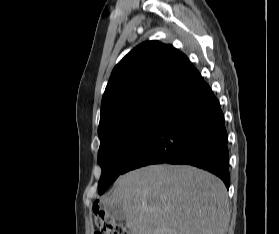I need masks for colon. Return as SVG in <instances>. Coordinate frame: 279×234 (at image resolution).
I'll list each match as a JSON object with an SVG mask.
<instances>
[{
	"label": "colon",
	"instance_id": "obj_1",
	"mask_svg": "<svg viewBox=\"0 0 279 234\" xmlns=\"http://www.w3.org/2000/svg\"><path fill=\"white\" fill-rule=\"evenodd\" d=\"M96 231L94 234H129L126 228L111 218L101 207L95 209Z\"/></svg>",
	"mask_w": 279,
	"mask_h": 234
}]
</instances>
